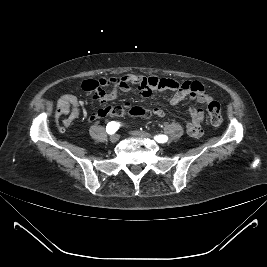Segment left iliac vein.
Here are the masks:
<instances>
[{
    "mask_svg": "<svg viewBox=\"0 0 267 267\" xmlns=\"http://www.w3.org/2000/svg\"><path fill=\"white\" fill-rule=\"evenodd\" d=\"M133 136L152 138L151 134L145 131H134L131 133Z\"/></svg>",
    "mask_w": 267,
    "mask_h": 267,
    "instance_id": "1",
    "label": "left iliac vein"
}]
</instances>
